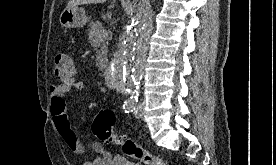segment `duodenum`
Segmentation results:
<instances>
[{
	"label": "duodenum",
	"mask_w": 276,
	"mask_h": 165,
	"mask_svg": "<svg viewBox=\"0 0 276 165\" xmlns=\"http://www.w3.org/2000/svg\"><path fill=\"white\" fill-rule=\"evenodd\" d=\"M104 77H105V80H106L107 84L111 85L112 84V79H111L110 72L108 70L104 71Z\"/></svg>",
	"instance_id": "obj_1"
}]
</instances>
